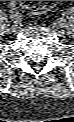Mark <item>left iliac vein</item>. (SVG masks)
<instances>
[{
    "label": "left iliac vein",
    "instance_id": "left-iliac-vein-1",
    "mask_svg": "<svg viewBox=\"0 0 74 122\" xmlns=\"http://www.w3.org/2000/svg\"><path fill=\"white\" fill-rule=\"evenodd\" d=\"M61 22H64L65 23V20L64 19H60L59 20V23H61ZM51 30L55 33V34H57V35H59V36H63L64 34H65V31L60 27V26H57V25H55V24H53V25H51Z\"/></svg>",
    "mask_w": 74,
    "mask_h": 122
}]
</instances>
